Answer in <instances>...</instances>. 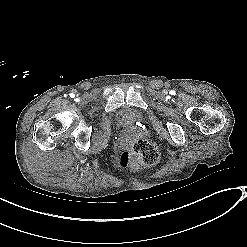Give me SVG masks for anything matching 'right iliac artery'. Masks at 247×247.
Segmentation results:
<instances>
[{
	"mask_svg": "<svg viewBox=\"0 0 247 247\" xmlns=\"http://www.w3.org/2000/svg\"><path fill=\"white\" fill-rule=\"evenodd\" d=\"M71 97H74V94H71Z\"/></svg>",
	"mask_w": 247,
	"mask_h": 247,
	"instance_id": "obj_1",
	"label": "right iliac artery"
}]
</instances>
